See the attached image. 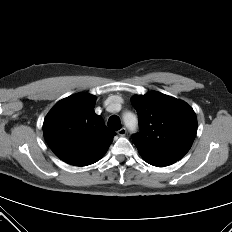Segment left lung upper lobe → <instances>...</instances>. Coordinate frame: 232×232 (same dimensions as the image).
Wrapping results in <instances>:
<instances>
[{
	"instance_id": "1",
	"label": "left lung upper lobe",
	"mask_w": 232,
	"mask_h": 232,
	"mask_svg": "<svg viewBox=\"0 0 232 232\" xmlns=\"http://www.w3.org/2000/svg\"><path fill=\"white\" fill-rule=\"evenodd\" d=\"M140 132L133 136L140 155L146 162H176L191 148L197 132V118L185 102L152 91L134 96Z\"/></svg>"
}]
</instances>
